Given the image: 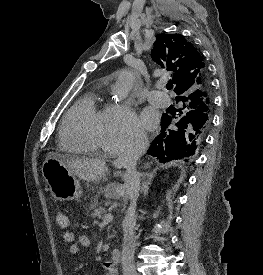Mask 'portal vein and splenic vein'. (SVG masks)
<instances>
[{"label": "portal vein and splenic vein", "instance_id": "18ae733b", "mask_svg": "<svg viewBox=\"0 0 263 275\" xmlns=\"http://www.w3.org/2000/svg\"><path fill=\"white\" fill-rule=\"evenodd\" d=\"M113 220V215L111 213H108L106 215L103 216L102 218V223L103 224H108Z\"/></svg>", "mask_w": 263, "mask_h": 275}]
</instances>
